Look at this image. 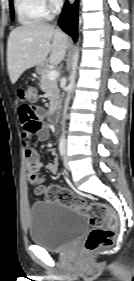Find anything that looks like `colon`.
<instances>
[{
  "label": "colon",
  "instance_id": "obj_1",
  "mask_svg": "<svg viewBox=\"0 0 134 281\" xmlns=\"http://www.w3.org/2000/svg\"><path fill=\"white\" fill-rule=\"evenodd\" d=\"M37 100V89L35 87L27 88L26 101L35 104ZM28 179L30 184L35 186L36 192L43 193L47 200L73 207L87 216L92 229L84 241L85 251L92 252L113 244L116 237L118 219L107 205L99 202L87 203L85 199L76 195L70 189L60 186L53 185L44 188L41 184V175L36 168L29 170Z\"/></svg>",
  "mask_w": 134,
  "mask_h": 281
}]
</instances>
